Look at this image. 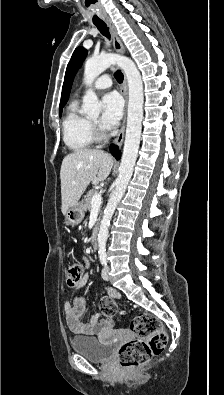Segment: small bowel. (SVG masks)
I'll use <instances>...</instances> for the list:
<instances>
[{
    "mask_svg": "<svg viewBox=\"0 0 224 395\" xmlns=\"http://www.w3.org/2000/svg\"><path fill=\"white\" fill-rule=\"evenodd\" d=\"M88 281V275L84 274L76 284L81 288ZM107 291L115 298L120 297L119 293L112 288H108ZM64 316L69 330L76 335H98L113 327V321L110 318H102L100 314L88 316L86 302L82 296L64 304Z\"/></svg>",
    "mask_w": 224,
    "mask_h": 395,
    "instance_id": "1",
    "label": "small bowel"
}]
</instances>
